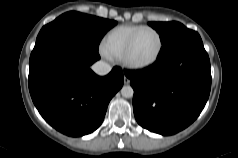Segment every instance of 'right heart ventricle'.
<instances>
[{
    "instance_id": "right-heart-ventricle-1",
    "label": "right heart ventricle",
    "mask_w": 238,
    "mask_h": 158,
    "mask_svg": "<svg viewBox=\"0 0 238 158\" xmlns=\"http://www.w3.org/2000/svg\"><path fill=\"white\" fill-rule=\"evenodd\" d=\"M143 25H120L111 29L103 38L102 50L110 57L121 58L131 36Z\"/></svg>"
}]
</instances>
